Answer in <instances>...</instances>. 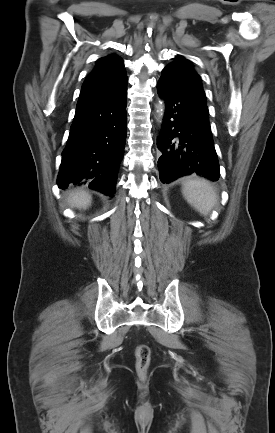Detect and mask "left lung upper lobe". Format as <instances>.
Returning <instances> with one entry per match:
<instances>
[{
	"label": "left lung upper lobe",
	"instance_id": "obj_1",
	"mask_svg": "<svg viewBox=\"0 0 275 433\" xmlns=\"http://www.w3.org/2000/svg\"><path fill=\"white\" fill-rule=\"evenodd\" d=\"M161 78L170 81L206 104V96L202 88L200 76L193 70L191 63L184 57L177 56L174 62L167 65L162 71Z\"/></svg>",
	"mask_w": 275,
	"mask_h": 433
}]
</instances>
